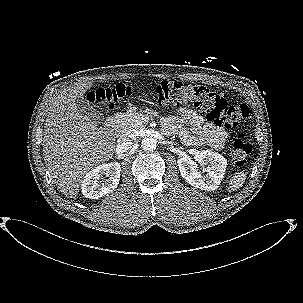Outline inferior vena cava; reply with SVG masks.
Segmentation results:
<instances>
[{"label":"inferior vena cava","mask_w":303,"mask_h":303,"mask_svg":"<svg viewBox=\"0 0 303 303\" xmlns=\"http://www.w3.org/2000/svg\"><path fill=\"white\" fill-rule=\"evenodd\" d=\"M119 142H120V145L122 146V148L125 149V150H129L133 146L132 140L126 134H122L120 136Z\"/></svg>","instance_id":"obj_1"}]
</instances>
